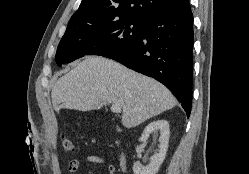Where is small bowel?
Instances as JSON below:
<instances>
[{"mask_svg":"<svg viewBox=\"0 0 249 174\" xmlns=\"http://www.w3.org/2000/svg\"><path fill=\"white\" fill-rule=\"evenodd\" d=\"M83 162L85 163H91V164H100V165H106L109 174H114L115 167L113 164L108 163L107 160L100 156V155H88L83 159ZM81 160L80 159H73L68 163V173L69 174H76L80 168Z\"/></svg>","mask_w":249,"mask_h":174,"instance_id":"obj_1","label":"small bowel"}]
</instances>
